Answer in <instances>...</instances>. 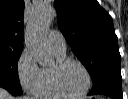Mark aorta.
I'll list each match as a JSON object with an SVG mask.
<instances>
[{"instance_id":"762f6f07","label":"aorta","mask_w":128,"mask_h":99,"mask_svg":"<svg viewBox=\"0 0 128 99\" xmlns=\"http://www.w3.org/2000/svg\"><path fill=\"white\" fill-rule=\"evenodd\" d=\"M55 17V11L50 6H41L34 10L26 30L25 44L32 52L35 60L41 66L54 61L53 54L48 47L46 28Z\"/></svg>"}]
</instances>
